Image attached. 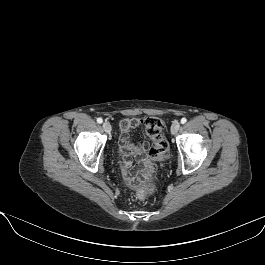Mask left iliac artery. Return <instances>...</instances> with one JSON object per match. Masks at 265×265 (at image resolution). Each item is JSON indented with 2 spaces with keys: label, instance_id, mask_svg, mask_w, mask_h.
<instances>
[{
  "label": "left iliac artery",
  "instance_id": "1",
  "mask_svg": "<svg viewBox=\"0 0 265 265\" xmlns=\"http://www.w3.org/2000/svg\"><path fill=\"white\" fill-rule=\"evenodd\" d=\"M187 122V119L185 118V117H183L182 119H181V124H185Z\"/></svg>",
  "mask_w": 265,
  "mask_h": 265
}]
</instances>
